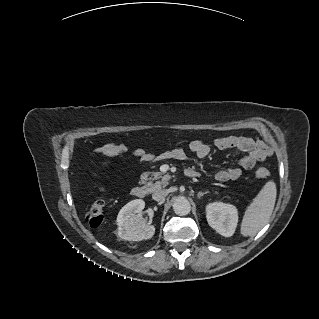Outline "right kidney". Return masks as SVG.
I'll list each match as a JSON object with an SVG mask.
<instances>
[{
  "label": "right kidney",
  "mask_w": 319,
  "mask_h": 319,
  "mask_svg": "<svg viewBox=\"0 0 319 319\" xmlns=\"http://www.w3.org/2000/svg\"><path fill=\"white\" fill-rule=\"evenodd\" d=\"M145 202L135 199L127 203L118 213V236L124 240L141 241L150 239L155 233L153 225L147 227L146 220L142 216Z\"/></svg>",
  "instance_id": "1"
}]
</instances>
